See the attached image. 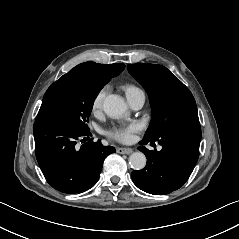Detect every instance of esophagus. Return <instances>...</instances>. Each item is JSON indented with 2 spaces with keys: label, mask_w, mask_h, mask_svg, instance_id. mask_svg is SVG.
I'll return each mask as SVG.
<instances>
[{
  "label": "esophagus",
  "mask_w": 239,
  "mask_h": 239,
  "mask_svg": "<svg viewBox=\"0 0 239 239\" xmlns=\"http://www.w3.org/2000/svg\"><path fill=\"white\" fill-rule=\"evenodd\" d=\"M116 151L119 154H130L132 152V149L129 148V147H127V148H117Z\"/></svg>",
  "instance_id": "34e87169"
}]
</instances>
